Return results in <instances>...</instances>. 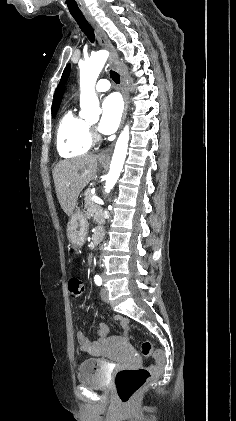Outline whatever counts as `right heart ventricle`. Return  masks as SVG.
Returning <instances> with one entry per match:
<instances>
[{
    "instance_id": "obj_1",
    "label": "right heart ventricle",
    "mask_w": 236,
    "mask_h": 421,
    "mask_svg": "<svg viewBox=\"0 0 236 421\" xmlns=\"http://www.w3.org/2000/svg\"><path fill=\"white\" fill-rule=\"evenodd\" d=\"M87 121L72 110L66 111L61 117L56 132V146L60 156L67 159H77L86 155L92 140Z\"/></svg>"
}]
</instances>
